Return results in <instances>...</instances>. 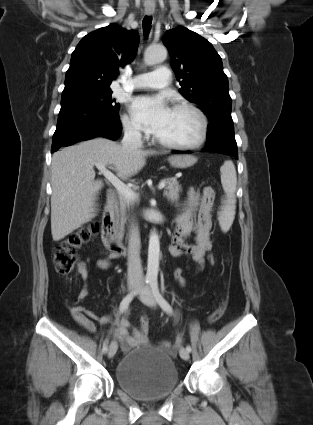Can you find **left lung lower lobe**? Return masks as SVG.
Returning <instances> with one entry per match:
<instances>
[{
  "instance_id": "0a47b994",
  "label": "left lung lower lobe",
  "mask_w": 313,
  "mask_h": 425,
  "mask_svg": "<svg viewBox=\"0 0 313 425\" xmlns=\"http://www.w3.org/2000/svg\"><path fill=\"white\" fill-rule=\"evenodd\" d=\"M203 151L232 155L238 159L234 126L231 121H218L208 125L207 142ZM191 153V151H186Z\"/></svg>"
}]
</instances>
